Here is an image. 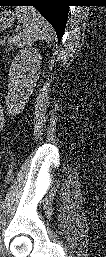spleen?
I'll return each instance as SVG.
<instances>
[{
	"mask_svg": "<svg viewBox=\"0 0 106 257\" xmlns=\"http://www.w3.org/2000/svg\"><path fill=\"white\" fill-rule=\"evenodd\" d=\"M15 12L18 22L23 24L19 33L22 46L30 47L37 40L52 41V28L34 7H16Z\"/></svg>",
	"mask_w": 106,
	"mask_h": 257,
	"instance_id": "obj_1",
	"label": "spleen"
}]
</instances>
